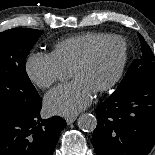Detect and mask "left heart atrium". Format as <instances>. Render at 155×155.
Instances as JSON below:
<instances>
[{"mask_svg": "<svg viewBox=\"0 0 155 155\" xmlns=\"http://www.w3.org/2000/svg\"><path fill=\"white\" fill-rule=\"evenodd\" d=\"M93 97L94 92L87 85L73 80L48 92L45 107L51 114L73 116L85 109Z\"/></svg>", "mask_w": 155, "mask_h": 155, "instance_id": "obj_1", "label": "left heart atrium"}]
</instances>
